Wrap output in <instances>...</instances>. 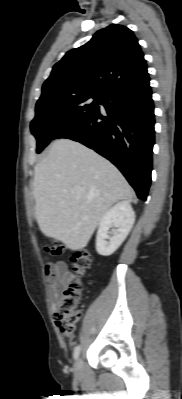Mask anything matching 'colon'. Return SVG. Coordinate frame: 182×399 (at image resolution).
<instances>
[{"mask_svg":"<svg viewBox=\"0 0 182 399\" xmlns=\"http://www.w3.org/2000/svg\"><path fill=\"white\" fill-rule=\"evenodd\" d=\"M46 250L53 255H60L64 253L65 245L60 241L52 240L46 246ZM71 264L77 279L65 291L55 308L56 324L68 336L74 333L81 318L79 309L83 297L81 277L89 271L92 264V256L89 251L81 250L74 255Z\"/></svg>","mask_w":182,"mask_h":399,"instance_id":"obj_1","label":"colon"}]
</instances>
